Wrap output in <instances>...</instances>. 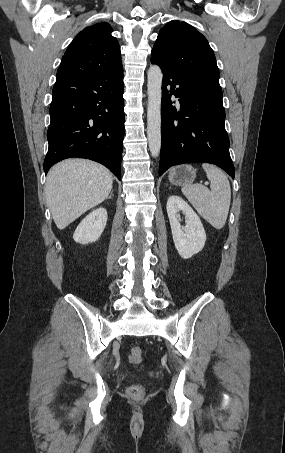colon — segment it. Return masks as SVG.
I'll return each mask as SVG.
<instances>
[{
  "mask_svg": "<svg viewBox=\"0 0 285 453\" xmlns=\"http://www.w3.org/2000/svg\"><path fill=\"white\" fill-rule=\"evenodd\" d=\"M143 350L139 346H134L129 353V362L132 365H139L143 360ZM127 393L131 398L138 399L144 394V387L142 385H131L127 389Z\"/></svg>",
  "mask_w": 285,
  "mask_h": 453,
  "instance_id": "colon-1",
  "label": "colon"
}]
</instances>
